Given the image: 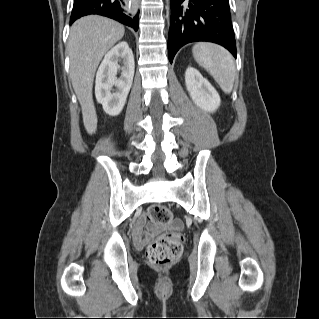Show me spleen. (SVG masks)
<instances>
[{
  "label": "spleen",
  "instance_id": "obj_1",
  "mask_svg": "<svg viewBox=\"0 0 319 319\" xmlns=\"http://www.w3.org/2000/svg\"><path fill=\"white\" fill-rule=\"evenodd\" d=\"M193 56L196 62L214 77L225 93L233 89L235 65L232 55L223 47L212 43L194 45Z\"/></svg>",
  "mask_w": 319,
  "mask_h": 319
}]
</instances>
